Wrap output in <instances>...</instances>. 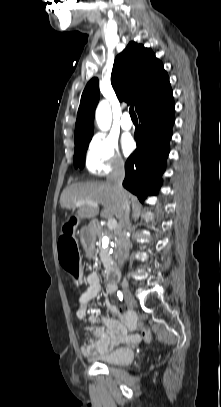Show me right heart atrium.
<instances>
[{"label":"right heart atrium","mask_w":221,"mask_h":407,"mask_svg":"<svg viewBox=\"0 0 221 407\" xmlns=\"http://www.w3.org/2000/svg\"><path fill=\"white\" fill-rule=\"evenodd\" d=\"M85 166L96 176L123 168L124 160L116 141L102 134L95 135L86 149Z\"/></svg>","instance_id":"obj_1"}]
</instances>
